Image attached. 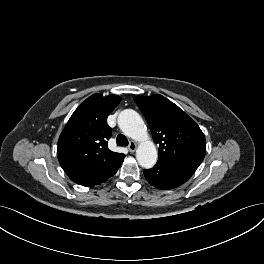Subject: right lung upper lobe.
<instances>
[{
  "label": "right lung upper lobe",
  "mask_w": 264,
  "mask_h": 264,
  "mask_svg": "<svg viewBox=\"0 0 264 264\" xmlns=\"http://www.w3.org/2000/svg\"><path fill=\"white\" fill-rule=\"evenodd\" d=\"M116 95L94 94L72 114L62 131L57 156L65 173L77 184L95 179L120 160L122 153L108 149L111 128L107 117L120 103Z\"/></svg>",
  "instance_id": "right-lung-upper-lobe-1"
}]
</instances>
